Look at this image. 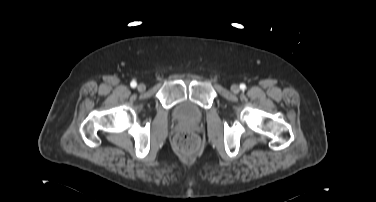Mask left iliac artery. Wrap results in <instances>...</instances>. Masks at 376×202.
Masks as SVG:
<instances>
[{
  "instance_id": "44dca946",
  "label": "left iliac artery",
  "mask_w": 376,
  "mask_h": 202,
  "mask_svg": "<svg viewBox=\"0 0 376 202\" xmlns=\"http://www.w3.org/2000/svg\"><path fill=\"white\" fill-rule=\"evenodd\" d=\"M240 89H241V90H245V89H246V85H245V84H243V83H242V84H240Z\"/></svg>"
}]
</instances>
